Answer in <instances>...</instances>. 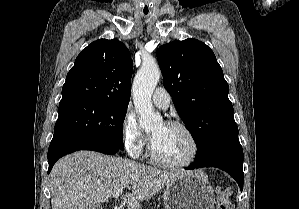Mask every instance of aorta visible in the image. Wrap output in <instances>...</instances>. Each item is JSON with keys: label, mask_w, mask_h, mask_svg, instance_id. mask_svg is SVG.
Wrapping results in <instances>:
<instances>
[{"label": "aorta", "mask_w": 299, "mask_h": 209, "mask_svg": "<svg viewBox=\"0 0 299 209\" xmlns=\"http://www.w3.org/2000/svg\"><path fill=\"white\" fill-rule=\"evenodd\" d=\"M160 75L159 67L154 62H145L134 78L133 100L139 114L140 126L144 129H150L162 121V117L154 112L151 102Z\"/></svg>", "instance_id": "obj_1"}]
</instances>
